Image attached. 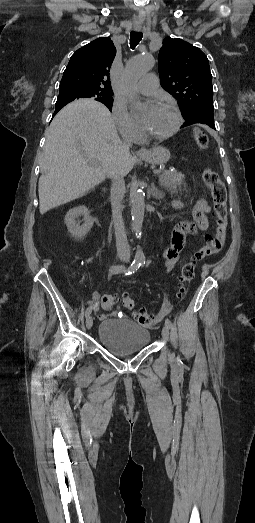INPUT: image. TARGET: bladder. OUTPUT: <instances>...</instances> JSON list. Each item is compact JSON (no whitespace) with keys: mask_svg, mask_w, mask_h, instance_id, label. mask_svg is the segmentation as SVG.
<instances>
[{"mask_svg":"<svg viewBox=\"0 0 255 523\" xmlns=\"http://www.w3.org/2000/svg\"><path fill=\"white\" fill-rule=\"evenodd\" d=\"M150 332L147 328L136 325L129 320L118 325L115 320L106 318L101 323L98 339L110 353L126 355L146 347Z\"/></svg>","mask_w":255,"mask_h":523,"instance_id":"bladder-1","label":"bladder"}]
</instances>
